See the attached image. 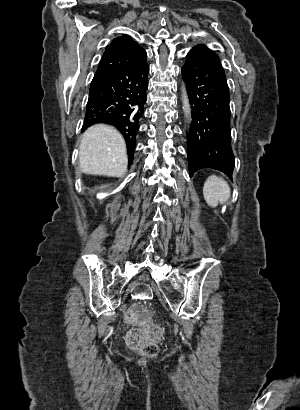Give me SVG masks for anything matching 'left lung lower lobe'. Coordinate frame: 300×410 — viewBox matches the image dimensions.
<instances>
[{
    "label": "left lung lower lobe",
    "mask_w": 300,
    "mask_h": 410,
    "mask_svg": "<svg viewBox=\"0 0 300 410\" xmlns=\"http://www.w3.org/2000/svg\"><path fill=\"white\" fill-rule=\"evenodd\" d=\"M182 75L192 109L187 139L189 175L213 168L231 178L234 155L225 72L219 63L188 53Z\"/></svg>",
    "instance_id": "left-lung-lower-lobe-1"
}]
</instances>
